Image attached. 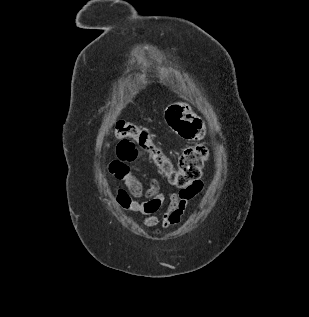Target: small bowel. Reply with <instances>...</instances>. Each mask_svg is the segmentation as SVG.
Masks as SVG:
<instances>
[{
  "label": "small bowel",
  "mask_w": 309,
  "mask_h": 317,
  "mask_svg": "<svg viewBox=\"0 0 309 317\" xmlns=\"http://www.w3.org/2000/svg\"><path fill=\"white\" fill-rule=\"evenodd\" d=\"M130 153V145L117 149V157L108 166L111 175L124 184L123 188L116 190L115 200L124 209L141 214L142 224L160 235L164 229L180 223L190 201L202 192L204 182L198 180L188 189L176 193H165L158 184L145 191L131 173L134 160L128 157ZM166 200L169 202L167 209L159 216L158 212Z\"/></svg>",
  "instance_id": "c3829d8e"
}]
</instances>
